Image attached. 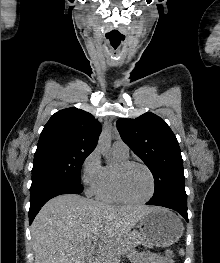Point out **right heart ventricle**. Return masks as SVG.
<instances>
[{"instance_id": "right-heart-ventricle-1", "label": "right heart ventricle", "mask_w": 220, "mask_h": 263, "mask_svg": "<svg viewBox=\"0 0 220 263\" xmlns=\"http://www.w3.org/2000/svg\"><path fill=\"white\" fill-rule=\"evenodd\" d=\"M116 159L121 162L127 160L128 156H123L120 153L113 150ZM113 170L112 166H104L102 171L101 181L95 192L96 197L103 202H119L120 200L115 194L113 187Z\"/></svg>"}]
</instances>
